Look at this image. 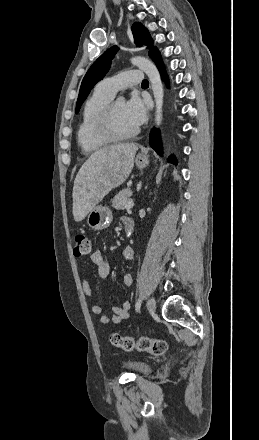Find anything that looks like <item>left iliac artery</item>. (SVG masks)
I'll list each match as a JSON object with an SVG mask.
<instances>
[{"mask_svg": "<svg viewBox=\"0 0 259 440\" xmlns=\"http://www.w3.org/2000/svg\"><path fill=\"white\" fill-rule=\"evenodd\" d=\"M140 307H141V299L139 298V299L136 301V304H135V310H136V312H139Z\"/></svg>", "mask_w": 259, "mask_h": 440, "instance_id": "44dca946", "label": "left iliac artery"}]
</instances>
